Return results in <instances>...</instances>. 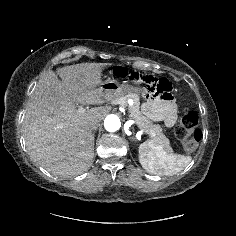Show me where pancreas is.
<instances>
[{
	"label": "pancreas",
	"mask_w": 236,
	"mask_h": 236,
	"mask_svg": "<svg viewBox=\"0 0 236 236\" xmlns=\"http://www.w3.org/2000/svg\"><path fill=\"white\" fill-rule=\"evenodd\" d=\"M132 98L134 100V104L129 109V117L137 121L140 127L144 130H147L151 136L152 140L155 144L162 146L168 152H172V147L170 146L169 139L162 133V128L160 125L153 124L150 120H148L145 116L140 112V103L139 99L135 94L129 93L120 97V103L122 106H127V100Z\"/></svg>",
	"instance_id": "pancreas-1"
}]
</instances>
